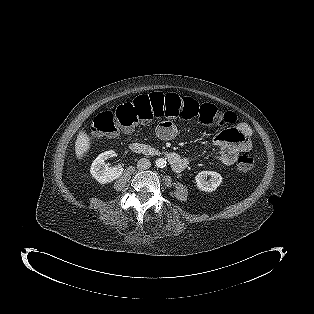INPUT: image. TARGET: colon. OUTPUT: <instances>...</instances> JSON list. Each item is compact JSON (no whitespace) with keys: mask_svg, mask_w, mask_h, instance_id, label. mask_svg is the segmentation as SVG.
I'll return each instance as SVG.
<instances>
[{"mask_svg":"<svg viewBox=\"0 0 314 314\" xmlns=\"http://www.w3.org/2000/svg\"><path fill=\"white\" fill-rule=\"evenodd\" d=\"M170 117L187 121L196 120L202 124H222L223 113L211 104H202L191 97L177 94L154 92L140 95L127 101L114 110L100 112L89 128L91 137H114L121 130H131L137 124H146L155 118ZM254 159L250 155H241L236 161L240 171L252 169Z\"/></svg>","mask_w":314,"mask_h":314,"instance_id":"5ec220e1","label":"colon"}]
</instances>
